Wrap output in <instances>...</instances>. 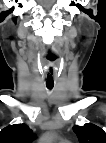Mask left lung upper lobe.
<instances>
[{"label": "left lung upper lobe", "instance_id": "1", "mask_svg": "<svg viewBox=\"0 0 106 143\" xmlns=\"http://www.w3.org/2000/svg\"><path fill=\"white\" fill-rule=\"evenodd\" d=\"M73 130L80 143H106V133L102 128L94 124L88 123L84 126H74Z\"/></svg>", "mask_w": 106, "mask_h": 143}]
</instances>
